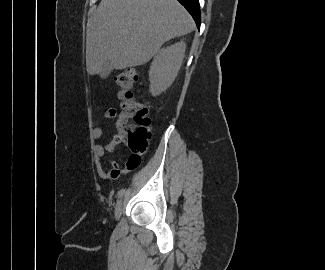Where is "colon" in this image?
<instances>
[{
    "mask_svg": "<svg viewBox=\"0 0 325 270\" xmlns=\"http://www.w3.org/2000/svg\"><path fill=\"white\" fill-rule=\"evenodd\" d=\"M137 80L138 72L134 68L125 69L115 77L121 89L119 98L123 109L118 121L117 140L130 150L127 161L129 170L139 166L150 139L148 108L136 99L134 93Z\"/></svg>",
    "mask_w": 325,
    "mask_h": 270,
    "instance_id": "colon-1",
    "label": "colon"
}]
</instances>
